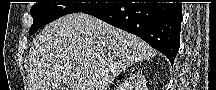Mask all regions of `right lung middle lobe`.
Returning <instances> with one entry per match:
<instances>
[{
  "label": "right lung middle lobe",
  "instance_id": "obj_1",
  "mask_svg": "<svg viewBox=\"0 0 216 90\" xmlns=\"http://www.w3.org/2000/svg\"><path fill=\"white\" fill-rule=\"evenodd\" d=\"M108 3H35L30 14L34 20L29 34H33L42 26L71 13L83 12L104 6Z\"/></svg>",
  "mask_w": 216,
  "mask_h": 90
}]
</instances>
